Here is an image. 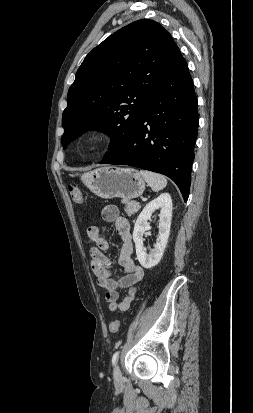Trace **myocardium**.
Instances as JSON below:
<instances>
[{"mask_svg":"<svg viewBox=\"0 0 253 413\" xmlns=\"http://www.w3.org/2000/svg\"><path fill=\"white\" fill-rule=\"evenodd\" d=\"M110 141V135L102 129H91L86 131L79 139L80 149L85 153H96L101 151Z\"/></svg>","mask_w":253,"mask_h":413,"instance_id":"f54148a6","label":"myocardium"}]
</instances>
